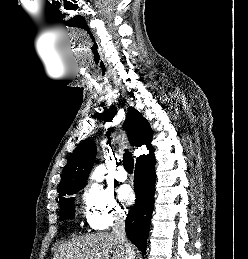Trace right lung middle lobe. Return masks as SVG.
Here are the masks:
<instances>
[{"instance_id": "dd1d6c3e", "label": "right lung middle lobe", "mask_w": 248, "mask_h": 259, "mask_svg": "<svg viewBox=\"0 0 248 259\" xmlns=\"http://www.w3.org/2000/svg\"><path fill=\"white\" fill-rule=\"evenodd\" d=\"M82 188L74 189L67 192L64 196L60 197V219H65L67 217L73 218L75 215L74 198H69L66 195H73L77 193Z\"/></svg>"}]
</instances>
